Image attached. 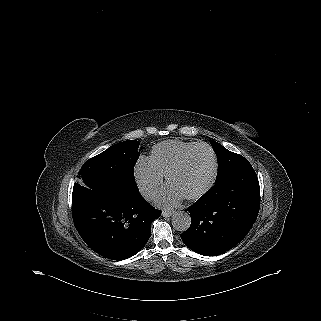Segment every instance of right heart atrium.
Masks as SVG:
<instances>
[{
	"label": "right heart atrium",
	"instance_id": "obj_1",
	"mask_svg": "<svg viewBox=\"0 0 321 321\" xmlns=\"http://www.w3.org/2000/svg\"><path fill=\"white\" fill-rule=\"evenodd\" d=\"M133 179L146 199H152L157 194L161 183L160 176L151 166L148 158H139L133 168Z\"/></svg>",
	"mask_w": 321,
	"mask_h": 321
}]
</instances>
